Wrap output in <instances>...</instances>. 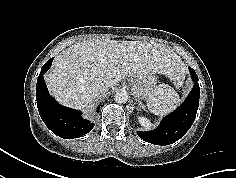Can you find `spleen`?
<instances>
[{"label":"spleen","instance_id":"spleen-1","mask_svg":"<svg viewBox=\"0 0 236 178\" xmlns=\"http://www.w3.org/2000/svg\"><path fill=\"white\" fill-rule=\"evenodd\" d=\"M179 102V95L171 86L160 84L148 97L147 106L155 115L164 116L173 111Z\"/></svg>","mask_w":236,"mask_h":178}]
</instances>
